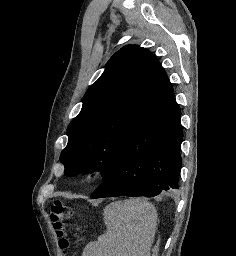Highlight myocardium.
Returning a JSON list of instances; mask_svg holds the SVG:
<instances>
[{
  "label": "myocardium",
  "instance_id": "1",
  "mask_svg": "<svg viewBox=\"0 0 236 256\" xmlns=\"http://www.w3.org/2000/svg\"><path fill=\"white\" fill-rule=\"evenodd\" d=\"M103 173L104 170L100 165L90 164L84 168L82 178L86 183H94L102 177Z\"/></svg>",
  "mask_w": 236,
  "mask_h": 256
}]
</instances>
